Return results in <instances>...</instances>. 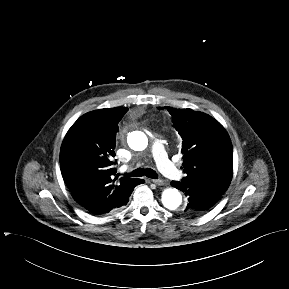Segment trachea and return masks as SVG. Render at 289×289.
I'll return each mask as SVG.
<instances>
[{
	"label": "trachea",
	"mask_w": 289,
	"mask_h": 289,
	"mask_svg": "<svg viewBox=\"0 0 289 289\" xmlns=\"http://www.w3.org/2000/svg\"><path fill=\"white\" fill-rule=\"evenodd\" d=\"M144 175L152 179L157 178V173L153 169H150V168H147V169L137 168L131 173V176L133 177H141Z\"/></svg>",
	"instance_id": "obj_1"
}]
</instances>
